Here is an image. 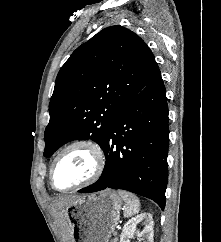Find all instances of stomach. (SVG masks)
Segmentation results:
<instances>
[{
	"label": "stomach",
	"mask_w": 221,
	"mask_h": 242,
	"mask_svg": "<svg viewBox=\"0 0 221 242\" xmlns=\"http://www.w3.org/2000/svg\"><path fill=\"white\" fill-rule=\"evenodd\" d=\"M122 200L112 190L78 197L67 208L70 242H108L120 218Z\"/></svg>",
	"instance_id": "0dacf381"
}]
</instances>
